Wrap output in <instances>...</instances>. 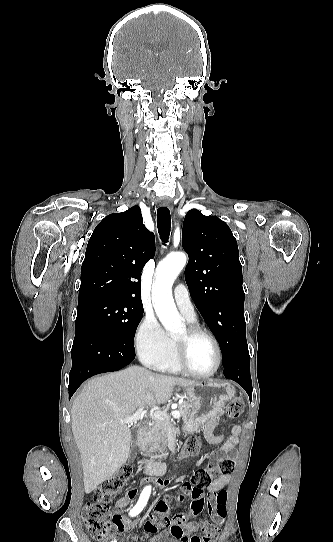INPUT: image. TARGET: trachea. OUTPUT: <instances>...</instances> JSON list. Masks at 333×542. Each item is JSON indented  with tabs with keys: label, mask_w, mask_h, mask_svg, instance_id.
Masks as SVG:
<instances>
[{
	"label": "trachea",
	"mask_w": 333,
	"mask_h": 542,
	"mask_svg": "<svg viewBox=\"0 0 333 542\" xmlns=\"http://www.w3.org/2000/svg\"><path fill=\"white\" fill-rule=\"evenodd\" d=\"M157 225L161 240L164 243L168 242L171 228V217L169 208L160 207L157 210Z\"/></svg>",
	"instance_id": "obj_1"
}]
</instances>
